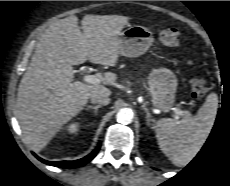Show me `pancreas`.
I'll return each instance as SVG.
<instances>
[{
	"label": "pancreas",
	"mask_w": 230,
	"mask_h": 186,
	"mask_svg": "<svg viewBox=\"0 0 230 186\" xmlns=\"http://www.w3.org/2000/svg\"><path fill=\"white\" fill-rule=\"evenodd\" d=\"M145 88H147V87L145 86ZM183 115H184L185 117H189V116H191V113L188 112V111H185V112L183 113Z\"/></svg>",
	"instance_id": "cf45deb5"
}]
</instances>
